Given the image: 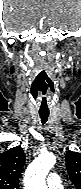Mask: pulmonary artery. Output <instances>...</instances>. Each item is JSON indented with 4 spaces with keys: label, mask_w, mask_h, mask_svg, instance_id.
<instances>
[{
    "label": "pulmonary artery",
    "mask_w": 81,
    "mask_h": 189,
    "mask_svg": "<svg viewBox=\"0 0 81 189\" xmlns=\"http://www.w3.org/2000/svg\"><path fill=\"white\" fill-rule=\"evenodd\" d=\"M46 181L49 189H63L62 180L56 173L49 174Z\"/></svg>",
    "instance_id": "1"
}]
</instances>
